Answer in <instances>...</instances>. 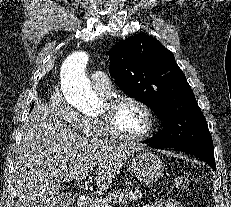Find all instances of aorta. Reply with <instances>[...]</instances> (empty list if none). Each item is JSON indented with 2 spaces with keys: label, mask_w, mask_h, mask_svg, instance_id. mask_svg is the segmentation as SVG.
Returning a JSON list of instances; mask_svg holds the SVG:
<instances>
[{
  "label": "aorta",
  "mask_w": 231,
  "mask_h": 207,
  "mask_svg": "<svg viewBox=\"0 0 231 207\" xmlns=\"http://www.w3.org/2000/svg\"><path fill=\"white\" fill-rule=\"evenodd\" d=\"M89 56L85 51L69 55L61 67V89L69 104L86 112L98 108L102 101L92 90L86 75Z\"/></svg>",
  "instance_id": "1"
}]
</instances>
